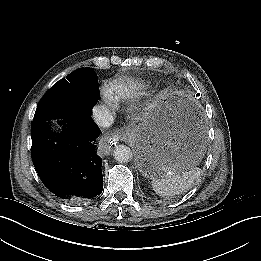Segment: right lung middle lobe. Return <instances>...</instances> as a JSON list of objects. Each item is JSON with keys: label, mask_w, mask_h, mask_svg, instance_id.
<instances>
[{"label": "right lung middle lobe", "mask_w": 261, "mask_h": 261, "mask_svg": "<svg viewBox=\"0 0 261 261\" xmlns=\"http://www.w3.org/2000/svg\"><path fill=\"white\" fill-rule=\"evenodd\" d=\"M98 79L92 68H80L58 81L42 97L33 123L65 117L78 109L92 110L99 98Z\"/></svg>", "instance_id": "obj_1"}]
</instances>
